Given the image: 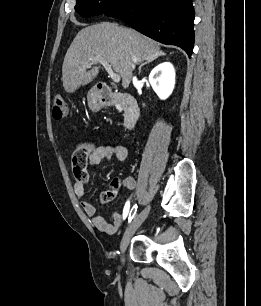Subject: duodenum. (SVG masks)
<instances>
[{"label": "duodenum", "mask_w": 261, "mask_h": 306, "mask_svg": "<svg viewBox=\"0 0 261 306\" xmlns=\"http://www.w3.org/2000/svg\"><path fill=\"white\" fill-rule=\"evenodd\" d=\"M98 102L105 106L118 104L124 116V125L131 129L135 126L140 116V108L137 100L124 93H115L107 84H98L95 91Z\"/></svg>", "instance_id": "1"}]
</instances>
